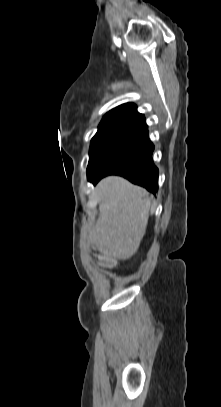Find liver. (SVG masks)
I'll use <instances>...</instances> for the list:
<instances>
[{"instance_id":"obj_1","label":"liver","mask_w":221,"mask_h":407,"mask_svg":"<svg viewBox=\"0 0 221 407\" xmlns=\"http://www.w3.org/2000/svg\"><path fill=\"white\" fill-rule=\"evenodd\" d=\"M96 193L99 217L89 241L108 260L129 259L146 233L152 199L144 188L119 176L102 179Z\"/></svg>"}]
</instances>
